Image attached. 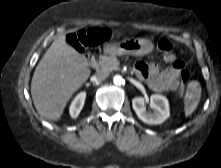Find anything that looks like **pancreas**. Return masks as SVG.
<instances>
[{
  "label": "pancreas",
  "instance_id": "pancreas-1",
  "mask_svg": "<svg viewBox=\"0 0 221 168\" xmlns=\"http://www.w3.org/2000/svg\"><path fill=\"white\" fill-rule=\"evenodd\" d=\"M96 70L104 72L119 70V61L114 55L102 56L96 64Z\"/></svg>",
  "mask_w": 221,
  "mask_h": 168
}]
</instances>
